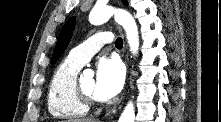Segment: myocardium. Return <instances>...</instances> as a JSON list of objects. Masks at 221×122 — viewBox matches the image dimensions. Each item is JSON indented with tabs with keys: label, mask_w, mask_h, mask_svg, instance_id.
Listing matches in <instances>:
<instances>
[{
	"label": "myocardium",
	"mask_w": 221,
	"mask_h": 122,
	"mask_svg": "<svg viewBox=\"0 0 221 122\" xmlns=\"http://www.w3.org/2000/svg\"><path fill=\"white\" fill-rule=\"evenodd\" d=\"M75 92L80 102L84 104L87 108L97 107L99 105V101L93 96L86 93L82 88L81 83L77 80L75 82Z\"/></svg>",
	"instance_id": "1"
}]
</instances>
